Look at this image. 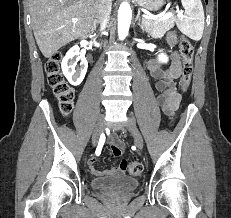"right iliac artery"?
<instances>
[{"instance_id": "right-iliac-artery-1", "label": "right iliac artery", "mask_w": 231, "mask_h": 218, "mask_svg": "<svg viewBox=\"0 0 231 218\" xmlns=\"http://www.w3.org/2000/svg\"><path fill=\"white\" fill-rule=\"evenodd\" d=\"M104 142H105V135L101 134L99 144H98V147L96 149V155L97 156H99L101 154V150H102V147L104 145Z\"/></svg>"}]
</instances>
